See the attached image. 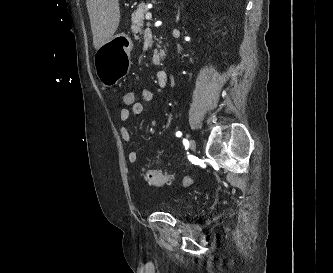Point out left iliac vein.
Here are the masks:
<instances>
[{
	"label": "left iliac vein",
	"mask_w": 333,
	"mask_h": 273,
	"mask_svg": "<svg viewBox=\"0 0 333 273\" xmlns=\"http://www.w3.org/2000/svg\"><path fill=\"white\" fill-rule=\"evenodd\" d=\"M189 146H190V148H191L192 151L196 150V143H195V141L193 139H191L189 141Z\"/></svg>",
	"instance_id": "4c4485c4"
}]
</instances>
